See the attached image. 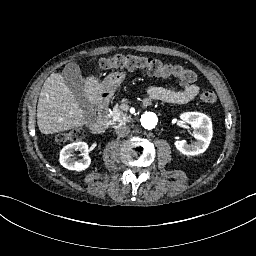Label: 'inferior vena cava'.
I'll use <instances>...</instances> for the list:
<instances>
[{
  "mask_svg": "<svg viewBox=\"0 0 256 256\" xmlns=\"http://www.w3.org/2000/svg\"><path fill=\"white\" fill-rule=\"evenodd\" d=\"M129 133H130V127H129V126H119V127L116 129V134H117L119 137H125V136H127Z\"/></svg>",
  "mask_w": 256,
  "mask_h": 256,
  "instance_id": "obj_1",
  "label": "inferior vena cava"
}]
</instances>
